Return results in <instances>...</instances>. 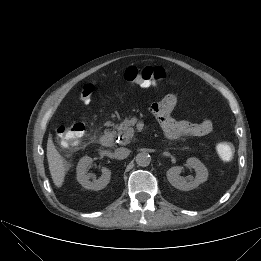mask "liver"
Masks as SVG:
<instances>
[{
    "mask_svg": "<svg viewBox=\"0 0 261 261\" xmlns=\"http://www.w3.org/2000/svg\"><path fill=\"white\" fill-rule=\"evenodd\" d=\"M47 160L52 180L55 186L60 188L66 174L65 160L56 149L51 137L47 141Z\"/></svg>",
    "mask_w": 261,
    "mask_h": 261,
    "instance_id": "1",
    "label": "liver"
}]
</instances>
